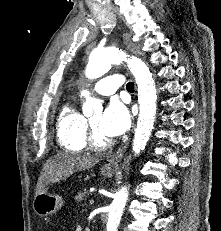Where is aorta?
I'll use <instances>...</instances> for the list:
<instances>
[{
    "mask_svg": "<svg viewBox=\"0 0 221 231\" xmlns=\"http://www.w3.org/2000/svg\"><path fill=\"white\" fill-rule=\"evenodd\" d=\"M122 63H126L133 73L138 89L139 117L132 146L136 156L144 150L151 136L156 116V87L149 68L141 59L129 56L121 49L112 47L96 48L90 54L85 73L87 78L96 79L107 73L113 64ZM81 95L86 98L83 106L84 111L101 107L100 101L90 97L88 91L83 90ZM127 199L128 188L122 187L115 194L109 207L106 231H118Z\"/></svg>",
    "mask_w": 221,
    "mask_h": 231,
    "instance_id": "762f6f07",
    "label": "aorta"
}]
</instances>
